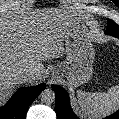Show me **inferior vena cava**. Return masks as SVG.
<instances>
[{
	"instance_id": "obj_1",
	"label": "inferior vena cava",
	"mask_w": 119,
	"mask_h": 119,
	"mask_svg": "<svg viewBox=\"0 0 119 119\" xmlns=\"http://www.w3.org/2000/svg\"><path fill=\"white\" fill-rule=\"evenodd\" d=\"M35 73V70L34 69H24L22 72H21V77H22V80L25 82L27 81L30 77H32Z\"/></svg>"
}]
</instances>
